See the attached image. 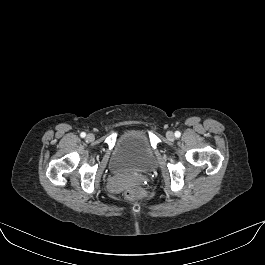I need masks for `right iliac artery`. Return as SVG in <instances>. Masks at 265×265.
<instances>
[{
  "instance_id": "82829eb1",
  "label": "right iliac artery",
  "mask_w": 265,
  "mask_h": 265,
  "mask_svg": "<svg viewBox=\"0 0 265 265\" xmlns=\"http://www.w3.org/2000/svg\"><path fill=\"white\" fill-rule=\"evenodd\" d=\"M80 136H81L82 138H84V137L86 136V133H85V132H82V133L80 134Z\"/></svg>"
}]
</instances>
